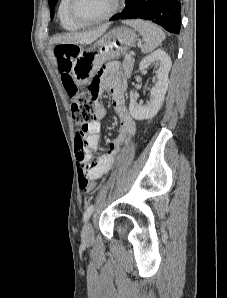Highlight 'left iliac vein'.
Instances as JSON below:
<instances>
[{"label": "left iliac vein", "instance_id": "obj_1", "mask_svg": "<svg viewBox=\"0 0 227 298\" xmlns=\"http://www.w3.org/2000/svg\"><path fill=\"white\" fill-rule=\"evenodd\" d=\"M81 238H82V241L86 244H90L93 242L94 230H93L91 222H88L83 226Z\"/></svg>", "mask_w": 227, "mask_h": 298}]
</instances>
